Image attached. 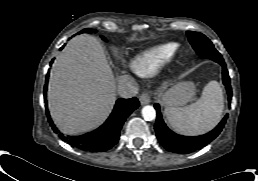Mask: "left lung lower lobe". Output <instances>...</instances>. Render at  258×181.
<instances>
[{
	"mask_svg": "<svg viewBox=\"0 0 258 181\" xmlns=\"http://www.w3.org/2000/svg\"><path fill=\"white\" fill-rule=\"evenodd\" d=\"M219 64L223 68L222 79L226 87V91L228 93V102L230 103L231 97H232L230 78L228 75L225 62L224 61L219 62ZM154 107L157 110V118H156V123L154 128H155L156 136L158 138L159 143L167 151H171L174 153H181V154L192 153L209 144L220 134L228 117V114H227L223 118V120L218 124V126L207 134L196 136V137H187V136L178 135L173 131H171L166 126V124L162 119L159 105L155 104Z\"/></svg>",
	"mask_w": 258,
	"mask_h": 181,
	"instance_id": "left-lung-lower-lobe-1",
	"label": "left lung lower lobe"
}]
</instances>
